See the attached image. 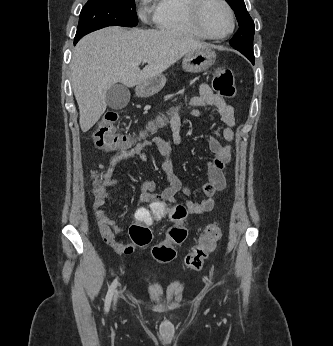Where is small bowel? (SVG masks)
I'll return each mask as SVG.
<instances>
[{"instance_id":"obj_1","label":"small bowel","mask_w":333,"mask_h":346,"mask_svg":"<svg viewBox=\"0 0 333 346\" xmlns=\"http://www.w3.org/2000/svg\"><path fill=\"white\" fill-rule=\"evenodd\" d=\"M185 105L192 108L191 116L194 117H202V112L198 109L199 107H211L218 112L224 123L219 135H211L208 141L214 158L207 164L208 181L202 187L206 198L199 201L186 200L181 205L185 208L186 215H198L212 211L216 203V194L225 188V167L230 159L232 146L230 144H224L222 140L228 143L234 140L233 127L235 125V118L232 106L228 105L220 96L215 94L207 83H202L199 87V95L190 97ZM183 106L184 104L180 103L171 116L170 126L172 138L170 140H164L160 137L145 139L130 149L115 154L110 160L109 167L103 175L105 190L102 194H95L92 208L100 234L103 240L111 245L113 254H134L137 249V244L133 236H128V239H116V235L122 230L104 210V206L110 198L107 187L115 184L113 179L114 171L122 161L129 158L136 157L143 162H147L149 158L144 151L146 147H153L161 155L168 157L171 153L172 145H180L182 142L180 110ZM163 168L167 175L168 185L160 193H155L156 184L153 181H142L139 184V188L142 191L140 197L142 203L147 204L162 201L173 204L177 200L176 194L178 192H183L186 196L192 195L193 190L183 187L180 180L171 172L170 161H166Z\"/></svg>"}]
</instances>
